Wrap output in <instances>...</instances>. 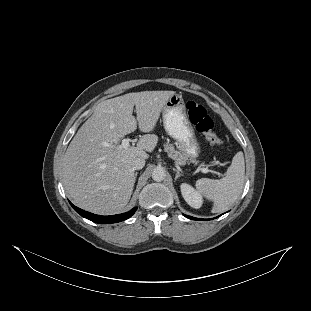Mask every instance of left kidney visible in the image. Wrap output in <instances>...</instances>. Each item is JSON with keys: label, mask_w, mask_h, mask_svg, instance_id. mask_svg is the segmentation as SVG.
<instances>
[{"label": "left kidney", "mask_w": 311, "mask_h": 311, "mask_svg": "<svg viewBox=\"0 0 311 311\" xmlns=\"http://www.w3.org/2000/svg\"><path fill=\"white\" fill-rule=\"evenodd\" d=\"M180 189L181 194L188 205L195 209H198L202 206V196L191 185L182 183L180 185Z\"/></svg>", "instance_id": "1"}]
</instances>
